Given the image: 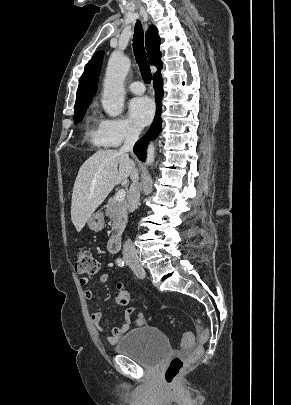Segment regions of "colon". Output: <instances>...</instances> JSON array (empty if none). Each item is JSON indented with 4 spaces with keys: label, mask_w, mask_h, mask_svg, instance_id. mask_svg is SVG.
I'll list each match as a JSON object with an SVG mask.
<instances>
[{
    "label": "colon",
    "mask_w": 291,
    "mask_h": 405,
    "mask_svg": "<svg viewBox=\"0 0 291 405\" xmlns=\"http://www.w3.org/2000/svg\"><path fill=\"white\" fill-rule=\"evenodd\" d=\"M75 268L78 273L95 275L99 271V264L93 253L88 248H80L77 252V259ZM116 301L120 305H126L130 301V293L124 285L118 284ZM209 330L206 327H201L198 337V345L195 350L187 357L175 356L168 363L165 369V381L168 385L174 384L183 370L196 362L204 353V346L209 340ZM194 342V336L192 333H185L182 336V346L190 347Z\"/></svg>",
    "instance_id": "1"
}]
</instances>
